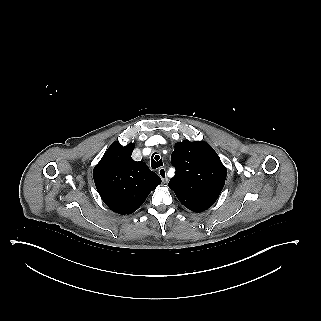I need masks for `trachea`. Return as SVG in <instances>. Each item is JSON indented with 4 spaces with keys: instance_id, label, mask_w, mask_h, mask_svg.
Returning a JSON list of instances; mask_svg holds the SVG:
<instances>
[{
    "instance_id": "3493384b",
    "label": "trachea",
    "mask_w": 321,
    "mask_h": 321,
    "mask_svg": "<svg viewBox=\"0 0 321 321\" xmlns=\"http://www.w3.org/2000/svg\"><path fill=\"white\" fill-rule=\"evenodd\" d=\"M163 165L162 159L157 153H153L151 157V167L152 169H157Z\"/></svg>"
}]
</instances>
